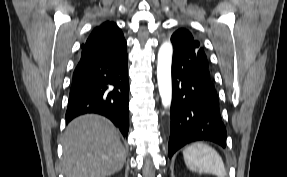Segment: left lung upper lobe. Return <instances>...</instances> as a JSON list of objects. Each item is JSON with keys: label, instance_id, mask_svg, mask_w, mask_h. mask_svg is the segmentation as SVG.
<instances>
[{"label": "left lung upper lobe", "instance_id": "left-lung-upper-lobe-1", "mask_svg": "<svg viewBox=\"0 0 287 177\" xmlns=\"http://www.w3.org/2000/svg\"><path fill=\"white\" fill-rule=\"evenodd\" d=\"M174 50L187 62L209 72V63L200 42L186 29L177 30L171 37Z\"/></svg>", "mask_w": 287, "mask_h": 177}]
</instances>
